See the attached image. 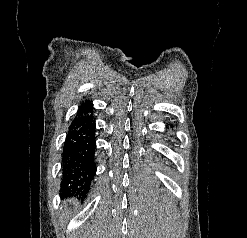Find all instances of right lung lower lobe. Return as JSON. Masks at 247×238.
<instances>
[{"instance_id": "98d812e1", "label": "right lung lower lobe", "mask_w": 247, "mask_h": 238, "mask_svg": "<svg viewBox=\"0 0 247 238\" xmlns=\"http://www.w3.org/2000/svg\"><path fill=\"white\" fill-rule=\"evenodd\" d=\"M89 101L82 104L72 122L63 147V180L65 193H87L96 172L95 120Z\"/></svg>"}]
</instances>
